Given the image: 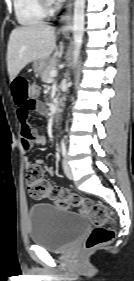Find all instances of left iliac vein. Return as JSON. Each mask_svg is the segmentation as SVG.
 Returning <instances> with one entry per match:
<instances>
[{"label": "left iliac vein", "instance_id": "1", "mask_svg": "<svg viewBox=\"0 0 134 281\" xmlns=\"http://www.w3.org/2000/svg\"><path fill=\"white\" fill-rule=\"evenodd\" d=\"M63 169H64V173L65 175L69 178V179H73V172L72 169L67 161V159L65 158L63 161Z\"/></svg>", "mask_w": 134, "mask_h": 281}]
</instances>
